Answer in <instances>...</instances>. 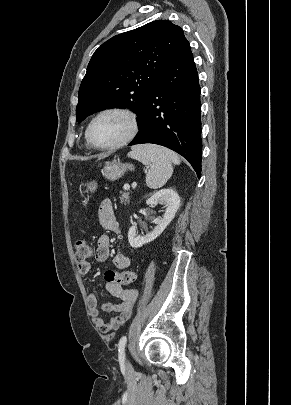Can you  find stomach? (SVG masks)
I'll return each mask as SVG.
<instances>
[{
  "instance_id": "1",
  "label": "stomach",
  "mask_w": 291,
  "mask_h": 405,
  "mask_svg": "<svg viewBox=\"0 0 291 405\" xmlns=\"http://www.w3.org/2000/svg\"><path fill=\"white\" fill-rule=\"evenodd\" d=\"M134 166L132 164H124L121 162H111L107 164L104 169L102 170L103 176L111 181L118 180L121 178L125 172L128 170H133ZM97 189L96 183H90L87 186V190L90 192H94Z\"/></svg>"
}]
</instances>
